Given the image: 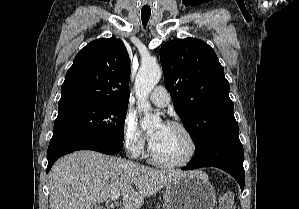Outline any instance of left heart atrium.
Masks as SVG:
<instances>
[{"label": "left heart atrium", "mask_w": 299, "mask_h": 209, "mask_svg": "<svg viewBox=\"0 0 299 209\" xmlns=\"http://www.w3.org/2000/svg\"><path fill=\"white\" fill-rule=\"evenodd\" d=\"M156 137H157V133L151 132L149 134L148 138H149L150 144H152L155 141Z\"/></svg>", "instance_id": "39dd6f15"}]
</instances>
